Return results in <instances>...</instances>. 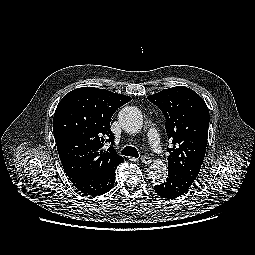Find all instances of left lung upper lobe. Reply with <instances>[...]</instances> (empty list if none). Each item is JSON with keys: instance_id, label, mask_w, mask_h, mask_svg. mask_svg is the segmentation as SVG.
<instances>
[{"instance_id": "left-lung-upper-lobe-1", "label": "left lung upper lobe", "mask_w": 255, "mask_h": 255, "mask_svg": "<svg viewBox=\"0 0 255 255\" xmlns=\"http://www.w3.org/2000/svg\"><path fill=\"white\" fill-rule=\"evenodd\" d=\"M159 107L166 119L168 139V172L194 181L204 160L209 111L204 100L184 86L164 89L148 97Z\"/></svg>"}]
</instances>
